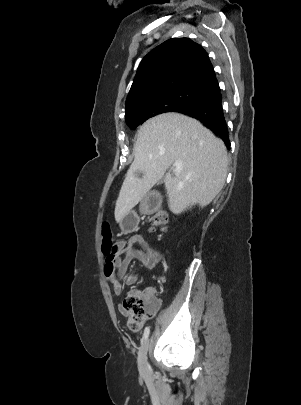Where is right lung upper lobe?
Returning <instances> with one entry per match:
<instances>
[{
	"label": "right lung upper lobe",
	"instance_id": "cb5924a9",
	"mask_svg": "<svg viewBox=\"0 0 301 405\" xmlns=\"http://www.w3.org/2000/svg\"><path fill=\"white\" fill-rule=\"evenodd\" d=\"M178 87L210 93L220 88L206 51L188 38H173L141 61L126 100V112L144 97Z\"/></svg>",
	"mask_w": 301,
	"mask_h": 405
}]
</instances>
